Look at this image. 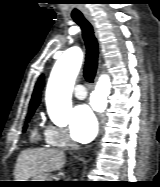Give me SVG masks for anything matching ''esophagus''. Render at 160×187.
Segmentation results:
<instances>
[{
	"label": "esophagus",
	"instance_id": "34e87169",
	"mask_svg": "<svg viewBox=\"0 0 160 187\" xmlns=\"http://www.w3.org/2000/svg\"><path fill=\"white\" fill-rule=\"evenodd\" d=\"M86 19L93 25L95 26L94 19L90 15H86Z\"/></svg>",
	"mask_w": 160,
	"mask_h": 187
}]
</instances>
